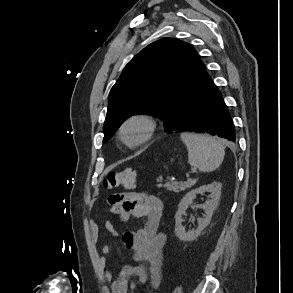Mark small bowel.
Returning a JSON list of instances; mask_svg holds the SVG:
<instances>
[{"instance_id": "1", "label": "small bowel", "mask_w": 293, "mask_h": 293, "mask_svg": "<svg viewBox=\"0 0 293 293\" xmlns=\"http://www.w3.org/2000/svg\"><path fill=\"white\" fill-rule=\"evenodd\" d=\"M110 210L118 214L124 222L140 218L141 225L136 232L126 231L121 234L123 244L132 250L135 265H124L113 277L109 272L106 276L111 282V293H131L134 289L146 286L156 288L162 279L163 253L166 241L165 234L159 230L163 203L157 196L146 192L127 191L115 193L108 200ZM91 241L97 246L102 232L116 236L118 232L110 221L103 222V231L94 219L89 220ZM102 254L108 256L111 247L104 243ZM146 262L148 266L139 265ZM135 277L136 280H131Z\"/></svg>"}]
</instances>
